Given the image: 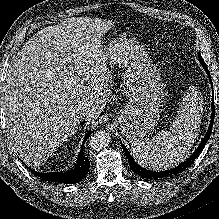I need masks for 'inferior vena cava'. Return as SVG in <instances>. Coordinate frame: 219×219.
Wrapping results in <instances>:
<instances>
[{
  "instance_id": "602c4592",
  "label": "inferior vena cava",
  "mask_w": 219,
  "mask_h": 219,
  "mask_svg": "<svg viewBox=\"0 0 219 219\" xmlns=\"http://www.w3.org/2000/svg\"><path fill=\"white\" fill-rule=\"evenodd\" d=\"M78 115H79L80 119H86L88 117H92L94 115V113L89 108L84 107V108L80 109Z\"/></svg>"
}]
</instances>
